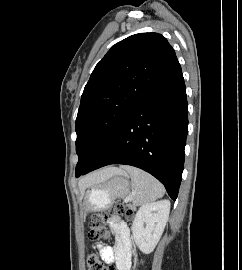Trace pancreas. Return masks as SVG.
I'll use <instances>...</instances> for the list:
<instances>
[{"instance_id": "1", "label": "pancreas", "mask_w": 242, "mask_h": 270, "mask_svg": "<svg viewBox=\"0 0 242 270\" xmlns=\"http://www.w3.org/2000/svg\"><path fill=\"white\" fill-rule=\"evenodd\" d=\"M129 208L132 209V210L135 209V207L133 205H129Z\"/></svg>"}]
</instances>
